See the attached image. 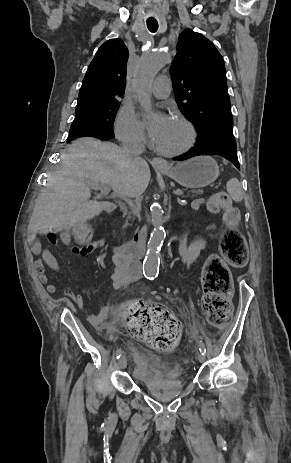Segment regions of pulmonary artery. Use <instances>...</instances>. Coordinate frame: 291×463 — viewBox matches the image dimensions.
Listing matches in <instances>:
<instances>
[{
    "label": "pulmonary artery",
    "instance_id": "1",
    "mask_svg": "<svg viewBox=\"0 0 291 463\" xmlns=\"http://www.w3.org/2000/svg\"><path fill=\"white\" fill-rule=\"evenodd\" d=\"M171 91V81L167 75H161L154 81L151 94L158 99L167 98Z\"/></svg>",
    "mask_w": 291,
    "mask_h": 463
}]
</instances>
